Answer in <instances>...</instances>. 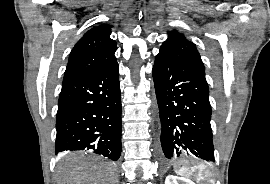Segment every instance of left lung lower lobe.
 I'll use <instances>...</instances> for the list:
<instances>
[{
	"mask_svg": "<svg viewBox=\"0 0 270 184\" xmlns=\"http://www.w3.org/2000/svg\"><path fill=\"white\" fill-rule=\"evenodd\" d=\"M153 80L165 162L187 156L214 162L206 80L181 61L163 54L155 58Z\"/></svg>",
	"mask_w": 270,
	"mask_h": 184,
	"instance_id": "0a47b994",
	"label": "left lung lower lobe"
}]
</instances>
